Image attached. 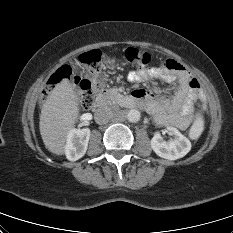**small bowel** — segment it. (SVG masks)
<instances>
[{"label": "small bowel", "instance_id": "1", "mask_svg": "<svg viewBox=\"0 0 233 233\" xmlns=\"http://www.w3.org/2000/svg\"><path fill=\"white\" fill-rule=\"evenodd\" d=\"M128 78L133 82L162 79L177 84L173 97L154 96L144 89L134 91V97L161 125L186 129L199 115L203 116L204 107L195 109V101L203 92L199 81L189 70L175 59H167L158 66L131 71Z\"/></svg>", "mask_w": 233, "mask_h": 233}]
</instances>
